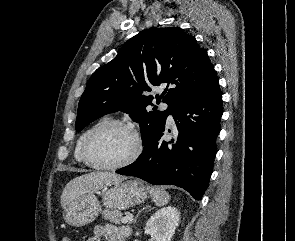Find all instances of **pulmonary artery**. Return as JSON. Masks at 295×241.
Wrapping results in <instances>:
<instances>
[{
    "label": "pulmonary artery",
    "mask_w": 295,
    "mask_h": 241,
    "mask_svg": "<svg viewBox=\"0 0 295 241\" xmlns=\"http://www.w3.org/2000/svg\"><path fill=\"white\" fill-rule=\"evenodd\" d=\"M166 107H167V105L165 104L164 108H166ZM168 121L173 122V116L171 114L168 116Z\"/></svg>",
    "instance_id": "pulmonary-artery-1"
}]
</instances>
